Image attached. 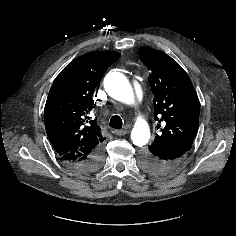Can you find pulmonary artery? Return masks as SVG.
<instances>
[{
	"label": "pulmonary artery",
	"mask_w": 236,
	"mask_h": 236,
	"mask_svg": "<svg viewBox=\"0 0 236 236\" xmlns=\"http://www.w3.org/2000/svg\"><path fill=\"white\" fill-rule=\"evenodd\" d=\"M135 90H136V100H137V102H140L142 99V95H141V91L137 85L135 86Z\"/></svg>",
	"instance_id": "e3ab8cb5"
}]
</instances>
